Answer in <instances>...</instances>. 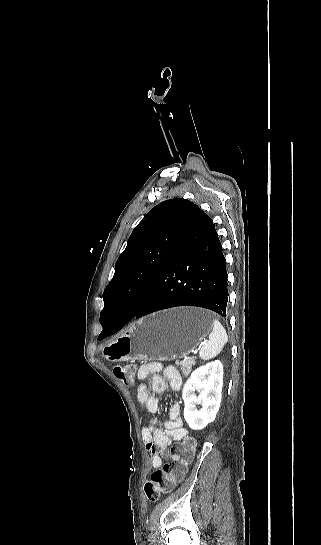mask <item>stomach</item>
I'll return each instance as SVG.
<instances>
[{
	"label": "stomach",
	"instance_id": "stomach-1",
	"mask_svg": "<svg viewBox=\"0 0 321 545\" xmlns=\"http://www.w3.org/2000/svg\"><path fill=\"white\" fill-rule=\"evenodd\" d=\"M210 311L176 307L138 319L107 347L111 361L180 359L192 353L212 329Z\"/></svg>",
	"mask_w": 321,
	"mask_h": 545
}]
</instances>
